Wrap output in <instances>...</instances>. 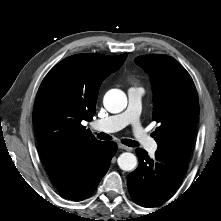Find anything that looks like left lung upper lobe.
Segmentation results:
<instances>
[{"label":"left lung upper lobe","instance_id":"left-lung-upper-lobe-1","mask_svg":"<svg viewBox=\"0 0 221 221\" xmlns=\"http://www.w3.org/2000/svg\"><path fill=\"white\" fill-rule=\"evenodd\" d=\"M136 63L149 73L153 94V133L159 151L188 160L199 116L198 95L189 73L167 55L138 56Z\"/></svg>","mask_w":221,"mask_h":221}]
</instances>
